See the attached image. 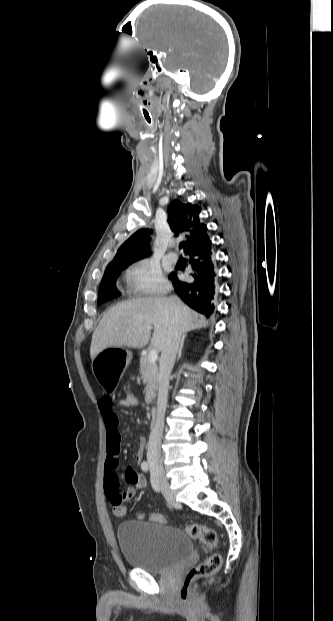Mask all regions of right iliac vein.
<instances>
[{"mask_svg": "<svg viewBox=\"0 0 333 621\" xmlns=\"http://www.w3.org/2000/svg\"><path fill=\"white\" fill-rule=\"evenodd\" d=\"M153 473L160 484L162 491L166 494L169 499H173V494L169 488V482L167 477L164 474V471L161 468H153Z\"/></svg>", "mask_w": 333, "mask_h": 621, "instance_id": "63e3f726", "label": "right iliac vein"}]
</instances>
